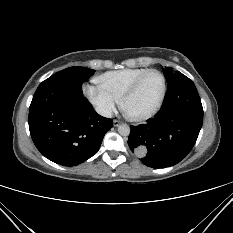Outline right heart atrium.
I'll list each match as a JSON object with an SVG mask.
<instances>
[{
	"instance_id": "obj_1",
	"label": "right heart atrium",
	"mask_w": 233,
	"mask_h": 233,
	"mask_svg": "<svg viewBox=\"0 0 233 233\" xmlns=\"http://www.w3.org/2000/svg\"><path fill=\"white\" fill-rule=\"evenodd\" d=\"M86 95L96 111L105 117L112 115L119 102L115 96L99 84L87 86Z\"/></svg>"
}]
</instances>
